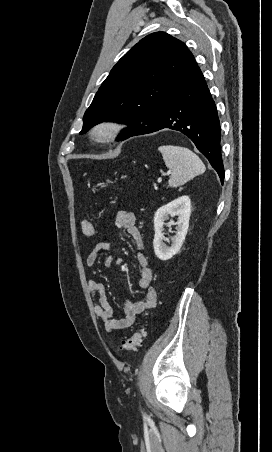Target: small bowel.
<instances>
[{"label":"small bowel","mask_w":272,"mask_h":452,"mask_svg":"<svg viewBox=\"0 0 272 452\" xmlns=\"http://www.w3.org/2000/svg\"><path fill=\"white\" fill-rule=\"evenodd\" d=\"M115 225L119 229L125 231L134 242L136 248V259L139 265L138 286L141 289L146 290L147 294L144 300H127L123 310V316L116 318L114 317L110 304L105 299L104 285L94 279H89L87 281V286L95 303L96 315L104 323L107 331H115L130 327L137 315L151 307H154L157 301V294L155 290L151 288L152 270L144 253V241L139 229L136 226L135 214L126 210L117 212L115 217ZM111 248L112 242L110 240H102L96 243L94 248L86 256V266H94L99 253L109 251ZM115 263H119V259L115 258L113 255L107 256L103 261V264L106 267H109Z\"/></svg>","instance_id":"1"}]
</instances>
